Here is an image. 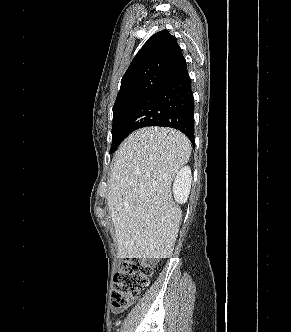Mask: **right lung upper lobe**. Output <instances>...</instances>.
I'll return each mask as SVG.
<instances>
[{
    "label": "right lung upper lobe",
    "instance_id": "cb5924a9",
    "mask_svg": "<svg viewBox=\"0 0 291 332\" xmlns=\"http://www.w3.org/2000/svg\"><path fill=\"white\" fill-rule=\"evenodd\" d=\"M186 69L177 39L167 30L151 36L139 50L121 80L117 99L151 90Z\"/></svg>",
    "mask_w": 291,
    "mask_h": 332
}]
</instances>
